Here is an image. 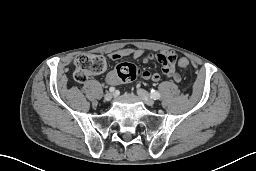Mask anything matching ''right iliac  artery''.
<instances>
[{
  "label": "right iliac artery",
  "mask_w": 256,
  "mask_h": 171,
  "mask_svg": "<svg viewBox=\"0 0 256 171\" xmlns=\"http://www.w3.org/2000/svg\"><path fill=\"white\" fill-rule=\"evenodd\" d=\"M109 91H110V92H114V91H115V88H114V87H110V88H109Z\"/></svg>",
  "instance_id": "obj_1"
}]
</instances>
